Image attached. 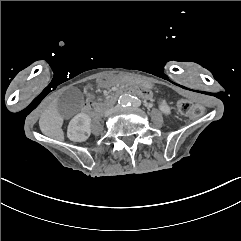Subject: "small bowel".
<instances>
[{"mask_svg": "<svg viewBox=\"0 0 241 241\" xmlns=\"http://www.w3.org/2000/svg\"><path fill=\"white\" fill-rule=\"evenodd\" d=\"M110 82H111L110 79L107 78V77H106V78H102V79L100 80V83H101V84H104V85H106V86L109 85ZM90 88H91V84H90V83H87V84H86V87L83 88V91L85 92L86 99H87L86 102H85V103H86V104H85L86 106H85L84 109H85V111L88 112V113L92 111V109H93L92 107H93V105H94V104H93V103H94V102H93L94 95H93L92 91L90 90Z\"/></svg>", "mask_w": 241, "mask_h": 241, "instance_id": "small-bowel-1", "label": "small bowel"}]
</instances>
